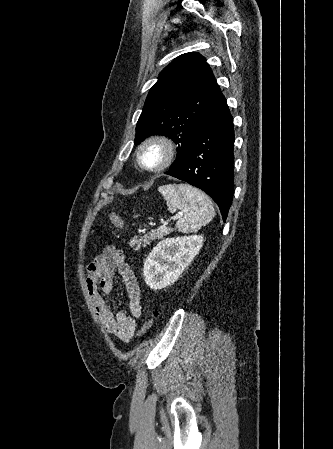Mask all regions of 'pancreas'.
Returning a JSON list of instances; mask_svg holds the SVG:
<instances>
[{"label": "pancreas", "instance_id": "cf45deb5", "mask_svg": "<svg viewBox=\"0 0 333 449\" xmlns=\"http://www.w3.org/2000/svg\"><path fill=\"white\" fill-rule=\"evenodd\" d=\"M171 232H172L171 228L162 226V227H160V228H158L156 230H151L150 232H148L147 234H144L140 238L134 237L130 241V246L134 250H139L141 247H146L147 245H150V243L153 240H157V239L163 238L164 236L168 235Z\"/></svg>", "mask_w": 333, "mask_h": 449}]
</instances>
